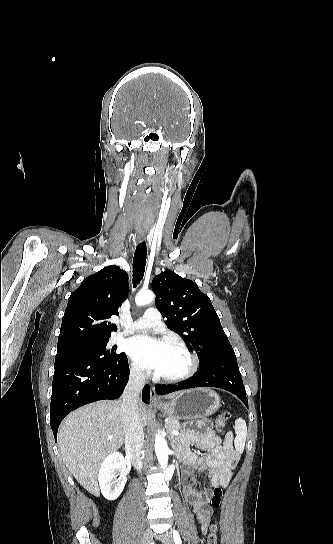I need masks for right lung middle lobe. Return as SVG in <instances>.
Returning a JSON list of instances; mask_svg holds the SVG:
<instances>
[{
	"mask_svg": "<svg viewBox=\"0 0 333 544\" xmlns=\"http://www.w3.org/2000/svg\"><path fill=\"white\" fill-rule=\"evenodd\" d=\"M109 342V339H102V340H94L89 342H84L81 344H77L74 346H70L63 349H58L59 352H83L87 354L91 359H94L96 361L107 363V364H114L117 363L123 356H125L124 353L116 354L114 350H116L117 347H113V349L108 350L107 349V343Z\"/></svg>",
	"mask_w": 333,
	"mask_h": 544,
	"instance_id": "right-lung-middle-lobe-1",
	"label": "right lung middle lobe"
}]
</instances>
